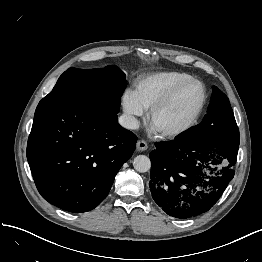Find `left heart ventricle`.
Instances as JSON below:
<instances>
[{
  "mask_svg": "<svg viewBox=\"0 0 262 262\" xmlns=\"http://www.w3.org/2000/svg\"><path fill=\"white\" fill-rule=\"evenodd\" d=\"M202 94V88L198 84L185 86L165 108L154 116L152 126L159 132L183 126L196 112Z\"/></svg>",
  "mask_w": 262,
  "mask_h": 262,
  "instance_id": "1",
  "label": "left heart ventricle"
}]
</instances>
